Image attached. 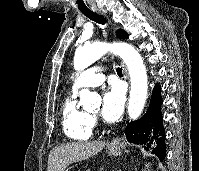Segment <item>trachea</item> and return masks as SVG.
<instances>
[{
	"mask_svg": "<svg viewBox=\"0 0 199 171\" xmlns=\"http://www.w3.org/2000/svg\"><path fill=\"white\" fill-rule=\"evenodd\" d=\"M82 13L84 14V16H86L90 20L95 21L98 24H101V25H105L106 24V19L102 15H99V14L94 13V12H82ZM116 71H117V74L119 76H122V68L118 67L116 69Z\"/></svg>",
	"mask_w": 199,
	"mask_h": 171,
	"instance_id": "1",
	"label": "trachea"
}]
</instances>
